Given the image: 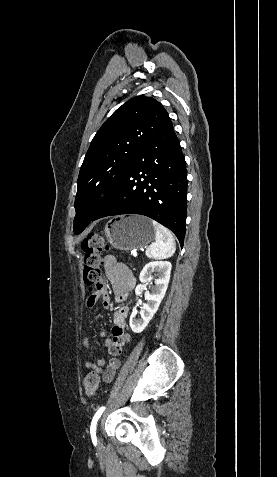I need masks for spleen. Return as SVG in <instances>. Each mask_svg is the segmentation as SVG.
Instances as JSON below:
<instances>
[{
  "label": "spleen",
  "instance_id": "1",
  "mask_svg": "<svg viewBox=\"0 0 277 477\" xmlns=\"http://www.w3.org/2000/svg\"><path fill=\"white\" fill-rule=\"evenodd\" d=\"M155 229V242L146 249V256L151 259H166L175 253L176 245L171 232L156 221H152Z\"/></svg>",
  "mask_w": 277,
  "mask_h": 477
}]
</instances>
